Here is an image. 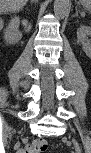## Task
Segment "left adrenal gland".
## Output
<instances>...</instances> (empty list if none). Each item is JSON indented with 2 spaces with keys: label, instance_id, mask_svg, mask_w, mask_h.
Returning a JSON list of instances; mask_svg holds the SVG:
<instances>
[{
  "label": "left adrenal gland",
  "instance_id": "1",
  "mask_svg": "<svg viewBox=\"0 0 91 153\" xmlns=\"http://www.w3.org/2000/svg\"><path fill=\"white\" fill-rule=\"evenodd\" d=\"M74 16L78 17V10H77V8H76V13H75Z\"/></svg>",
  "mask_w": 91,
  "mask_h": 153
}]
</instances>
